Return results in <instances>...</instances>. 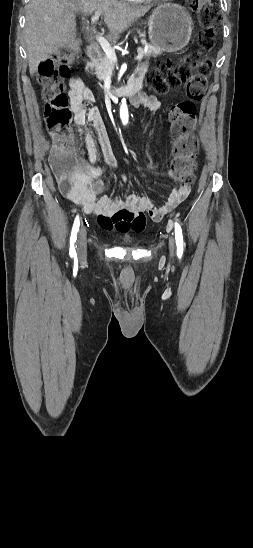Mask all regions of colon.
<instances>
[{"mask_svg": "<svg viewBox=\"0 0 253 548\" xmlns=\"http://www.w3.org/2000/svg\"><path fill=\"white\" fill-rule=\"evenodd\" d=\"M187 2L198 13L203 30L199 38L201 50L161 62L146 76L145 84L149 90L157 94H166L170 89L185 85L188 101L173 108L170 115L171 132L175 139L170 176L191 185L195 179V157L198 151V143L193 135L197 122L195 102L200 101L205 95L210 68L209 61L203 53L215 45L220 17L211 0ZM76 55L77 50L69 48L65 53L48 58L39 65L38 81L46 102L44 121L53 139L51 165L55 176L63 185L68 183L76 167L69 134L72 111L64 84L69 73V65ZM144 165L151 172L158 170L155 161H147Z\"/></svg>", "mask_w": 253, "mask_h": 548, "instance_id": "obj_1", "label": "colon"}]
</instances>
